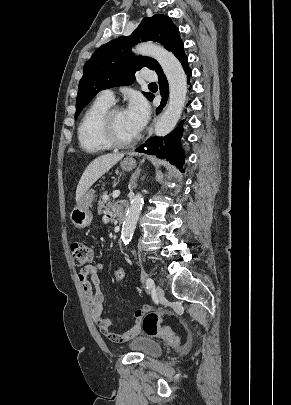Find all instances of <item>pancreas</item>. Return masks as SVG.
Returning a JSON list of instances; mask_svg holds the SVG:
<instances>
[{
  "label": "pancreas",
  "instance_id": "obj_1",
  "mask_svg": "<svg viewBox=\"0 0 291 405\" xmlns=\"http://www.w3.org/2000/svg\"><path fill=\"white\" fill-rule=\"evenodd\" d=\"M111 206V201L109 197H107V194L104 193L99 200L98 203V214H102L104 212V209H107Z\"/></svg>",
  "mask_w": 291,
  "mask_h": 405
}]
</instances>
